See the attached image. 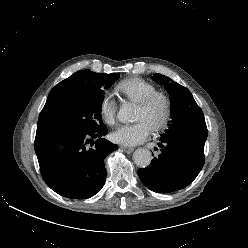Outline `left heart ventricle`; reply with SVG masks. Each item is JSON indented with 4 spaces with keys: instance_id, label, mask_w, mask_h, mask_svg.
Returning <instances> with one entry per match:
<instances>
[{
    "instance_id": "obj_1",
    "label": "left heart ventricle",
    "mask_w": 248,
    "mask_h": 248,
    "mask_svg": "<svg viewBox=\"0 0 248 248\" xmlns=\"http://www.w3.org/2000/svg\"><path fill=\"white\" fill-rule=\"evenodd\" d=\"M164 114V105L161 102L156 103L151 109L144 110L137 106L135 112L136 121H145L152 128L161 120Z\"/></svg>"
}]
</instances>
